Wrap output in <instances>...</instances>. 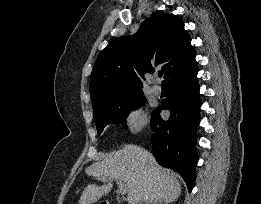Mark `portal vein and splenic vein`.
<instances>
[{
    "instance_id": "portal-vein-and-splenic-vein-1",
    "label": "portal vein and splenic vein",
    "mask_w": 261,
    "mask_h": 204,
    "mask_svg": "<svg viewBox=\"0 0 261 204\" xmlns=\"http://www.w3.org/2000/svg\"><path fill=\"white\" fill-rule=\"evenodd\" d=\"M116 183L119 188L118 193H120L121 195H125L128 189L126 184L121 180H116Z\"/></svg>"
}]
</instances>
